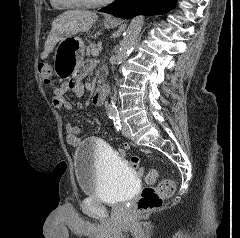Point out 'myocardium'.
<instances>
[{
	"label": "myocardium",
	"instance_id": "myocardium-1",
	"mask_svg": "<svg viewBox=\"0 0 240 238\" xmlns=\"http://www.w3.org/2000/svg\"><path fill=\"white\" fill-rule=\"evenodd\" d=\"M113 0H100L97 2H75V1H67L66 4L71 7H78V8H97L105 6L109 3H111Z\"/></svg>",
	"mask_w": 240,
	"mask_h": 238
}]
</instances>
